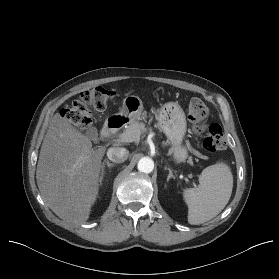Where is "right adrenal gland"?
<instances>
[{
  "instance_id": "2a0ac1e0",
  "label": "right adrenal gland",
  "mask_w": 279,
  "mask_h": 279,
  "mask_svg": "<svg viewBox=\"0 0 279 279\" xmlns=\"http://www.w3.org/2000/svg\"><path fill=\"white\" fill-rule=\"evenodd\" d=\"M105 165H107V167L112 168L115 166L114 163H110L108 160H104L103 164H102V171H104Z\"/></svg>"
}]
</instances>
